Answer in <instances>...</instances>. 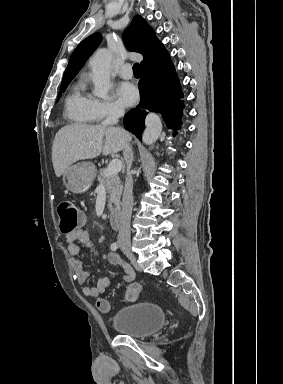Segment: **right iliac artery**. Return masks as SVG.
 I'll return each mask as SVG.
<instances>
[{
    "label": "right iliac artery",
    "mask_w": 283,
    "mask_h": 384,
    "mask_svg": "<svg viewBox=\"0 0 283 384\" xmlns=\"http://www.w3.org/2000/svg\"><path fill=\"white\" fill-rule=\"evenodd\" d=\"M117 248H118V244H117V242H114V243L111 244V250H112V251H116Z\"/></svg>",
    "instance_id": "right-iliac-artery-1"
}]
</instances>
